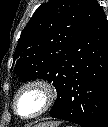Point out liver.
Returning a JSON list of instances; mask_svg holds the SVG:
<instances>
[{"instance_id": "obj_1", "label": "liver", "mask_w": 108, "mask_h": 127, "mask_svg": "<svg viewBox=\"0 0 108 127\" xmlns=\"http://www.w3.org/2000/svg\"><path fill=\"white\" fill-rule=\"evenodd\" d=\"M44 126L50 125V124H56L55 122H44L42 123Z\"/></svg>"}]
</instances>
